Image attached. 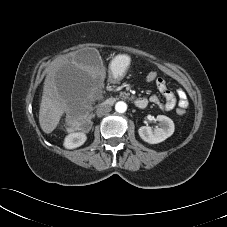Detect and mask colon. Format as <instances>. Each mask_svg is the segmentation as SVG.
Masks as SVG:
<instances>
[{"instance_id": "colon-1", "label": "colon", "mask_w": 227, "mask_h": 227, "mask_svg": "<svg viewBox=\"0 0 227 227\" xmlns=\"http://www.w3.org/2000/svg\"><path fill=\"white\" fill-rule=\"evenodd\" d=\"M158 78H159L158 72L155 70H151V71L147 72L145 75V80L147 82H156V80ZM177 113L179 115H183L185 113V109L178 108ZM70 123L73 128H80L87 123V116H86V114L74 115L71 117Z\"/></svg>"}]
</instances>
